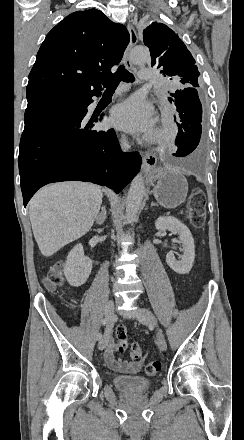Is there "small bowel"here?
Masks as SVG:
<instances>
[{"label":"small bowel","instance_id":"c3829d8e","mask_svg":"<svg viewBox=\"0 0 244 440\" xmlns=\"http://www.w3.org/2000/svg\"><path fill=\"white\" fill-rule=\"evenodd\" d=\"M116 345L113 341H109L104 352V359L109 368L123 375H136L141 369V363H131V361L116 360L114 353Z\"/></svg>","mask_w":244,"mask_h":440}]
</instances>
